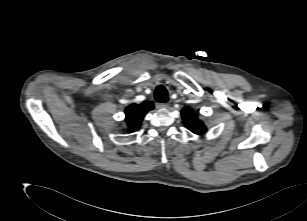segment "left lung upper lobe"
Segmentation results:
<instances>
[{
    "label": "left lung upper lobe",
    "mask_w": 307,
    "mask_h": 221,
    "mask_svg": "<svg viewBox=\"0 0 307 221\" xmlns=\"http://www.w3.org/2000/svg\"><path fill=\"white\" fill-rule=\"evenodd\" d=\"M182 118L185 126L195 134H204L206 132L205 125L198 120L197 115L188 108L182 110Z\"/></svg>",
    "instance_id": "obj_1"
}]
</instances>
